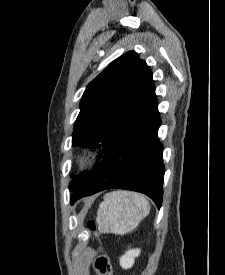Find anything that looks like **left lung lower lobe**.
I'll list each match as a JSON object with an SVG mask.
<instances>
[{
    "label": "left lung lower lobe",
    "mask_w": 225,
    "mask_h": 275,
    "mask_svg": "<svg viewBox=\"0 0 225 275\" xmlns=\"http://www.w3.org/2000/svg\"><path fill=\"white\" fill-rule=\"evenodd\" d=\"M157 105L156 100L74 189L71 204L102 190L122 188L144 193L161 207L164 164Z\"/></svg>",
    "instance_id": "obj_1"
}]
</instances>
